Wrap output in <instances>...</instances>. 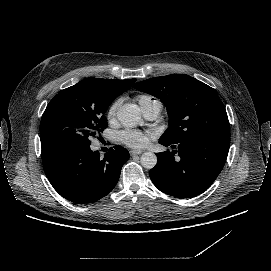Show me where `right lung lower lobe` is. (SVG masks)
Wrapping results in <instances>:
<instances>
[{
	"instance_id": "98d812e1",
	"label": "right lung lower lobe",
	"mask_w": 271,
	"mask_h": 271,
	"mask_svg": "<svg viewBox=\"0 0 271 271\" xmlns=\"http://www.w3.org/2000/svg\"><path fill=\"white\" fill-rule=\"evenodd\" d=\"M42 147L45 174L54 189L65 199L77 203L97 201L117 184L129 152L114 146L104 158L90 145L54 142Z\"/></svg>"
}]
</instances>
